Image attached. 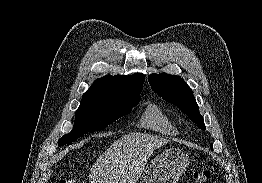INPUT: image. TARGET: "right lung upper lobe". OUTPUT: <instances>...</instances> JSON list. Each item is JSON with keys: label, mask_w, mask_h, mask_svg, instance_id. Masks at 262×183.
<instances>
[{"label": "right lung upper lobe", "mask_w": 262, "mask_h": 183, "mask_svg": "<svg viewBox=\"0 0 262 183\" xmlns=\"http://www.w3.org/2000/svg\"><path fill=\"white\" fill-rule=\"evenodd\" d=\"M144 75L136 73L131 76L106 75L94 81L92 86L83 94L84 99L105 101H125L140 99Z\"/></svg>", "instance_id": "cb5924a9"}]
</instances>
